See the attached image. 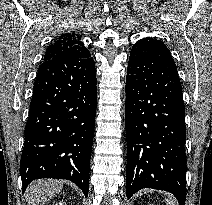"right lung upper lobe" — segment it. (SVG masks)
Listing matches in <instances>:
<instances>
[{"instance_id":"1","label":"right lung upper lobe","mask_w":212,"mask_h":205,"mask_svg":"<svg viewBox=\"0 0 212 205\" xmlns=\"http://www.w3.org/2000/svg\"><path fill=\"white\" fill-rule=\"evenodd\" d=\"M90 52L76 33L59 36L46 50L43 61L64 57H89Z\"/></svg>"}]
</instances>
